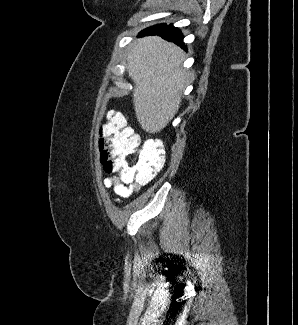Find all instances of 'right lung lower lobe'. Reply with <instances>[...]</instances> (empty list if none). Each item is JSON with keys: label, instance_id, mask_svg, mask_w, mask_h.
<instances>
[{"label": "right lung lower lobe", "instance_id": "right-lung-lower-lobe-1", "mask_svg": "<svg viewBox=\"0 0 298 325\" xmlns=\"http://www.w3.org/2000/svg\"><path fill=\"white\" fill-rule=\"evenodd\" d=\"M141 36L145 35H159L162 38L174 42L181 47L185 48L183 43V35L180 30L173 27L172 25L159 24L152 27L144 29L141 33Z\"/></svg>", "mask_w": 298, "mask_h": 325}]
</instances>
